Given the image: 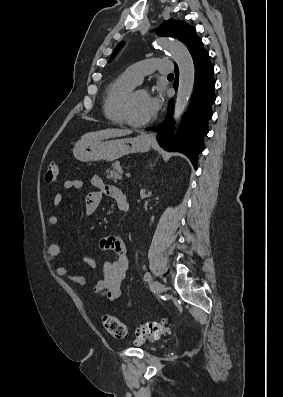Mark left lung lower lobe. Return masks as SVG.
Segmentation results:
<instances>
[{
    "label": "left lung lower lobe",
    "instance_id": "left-lung-lower-lobe-1",
    "mask_svg": "<svg viewBox=\"0 0 283 397\" xmlns=\"http://www.w3.org/2000/svg\"><path fill=\"white\" fill-rule=\"evenodd\" d=\"M195 66V87L189 111L184 117L179 135L171 136L173 119V102L169 101L168 116L158 127L149 128L158 131L157 141L168 151H178L185 154L196 169L198 154L204 150L203 137L208 133V121L213 115L212 104L216 96L214 93V66L209 60V54L203 44L190 50ZM174 89L178 88V67L176 66Z\"/></svg>",
    "mask_w": 283,
    "mask_h": 397
}]
</instances>
